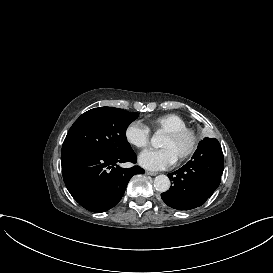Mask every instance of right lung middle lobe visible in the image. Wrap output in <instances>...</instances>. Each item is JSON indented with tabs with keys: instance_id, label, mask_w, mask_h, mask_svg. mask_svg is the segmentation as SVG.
I'll return each mask as SVG.
<instances>
[{
	"instance_id": "obj_1",
	"label": "right lung middle lobe",
	"mask_w": 273,
	"mask_h": 273,
	"mask_svg": "<svg viewBox=\"0 0 273 273\" xmlns=\"http://www.w3.org/2000/svg\"><path fill=\"white\" fill-rule=\"evenodd\" d=\"M138 115L114 107L94 108L83 113L68 131L61 157L84 151L121 154L131 150L125 132Z\"/></svg>"
}]
</instances>
